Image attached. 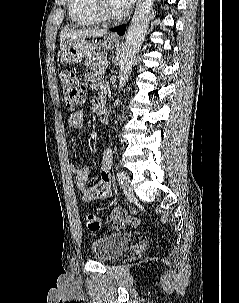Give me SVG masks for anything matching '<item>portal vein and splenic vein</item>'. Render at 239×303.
Segmentation results:
<instances>
[{"instance_id":"obj_1","label":"portal vein and splenic vein","mask_w":239,"mask_h":303,"mask_svg":"<svg viewBox=\"0 0 239 303\" xmlns=\"http://www.w3.org/2000/svg\"><path fill=\"white\" fill-rule=\"evenodd\" d=\"M102 65H103L104 67H107V66H108V61H107V60L103 61V62H102Z\"/></svg>"}]
</instances>
